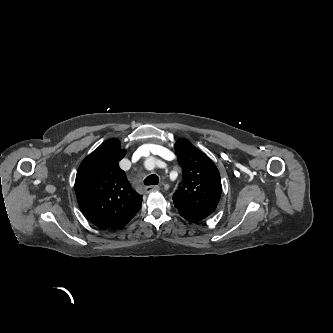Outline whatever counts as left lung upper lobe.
Wrapping results in <instances>:
<instances>
[{"mask_svg": "<svg viewBox=\"0 0 333 333\" xmlns=\"http://www.w3.org/2000/svg\"><path fill=\"white\" fill-rule=\"evenodd\" d=\"M175 151L183 176L178 191L173 195L174 205L180 212L206 218L220 199L219 171L210 158L185 139L176 142Z\"/></svg>", "mask_w": 333, "mask_h": 333, "instance_id": "obj_1", "label": "left lung upper lobe"}]
</instances>
